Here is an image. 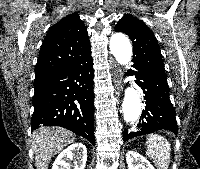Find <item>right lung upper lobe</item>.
<instances>
[{"label":"right lung upper lobe","instance_id":"1","mask_svg":"<svg viewBox=\"0 0 200 169\" xmlns=\"http://www.w3.org/2000/svg\"><path fill=\"white\" fill-rule=\"evenodd\" d=\"M91 54L87 29L77 13L50 27L40 48L35 78L76 65Z\"/></svg>","mask_w":200,"mask_h":169}]
</instances>
